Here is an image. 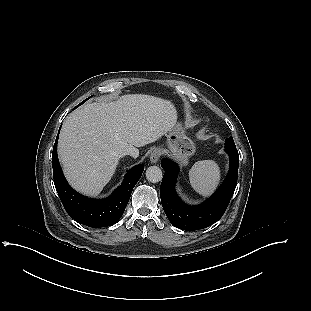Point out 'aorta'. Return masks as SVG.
<instances>
[{
	"label": "aorta",
	"instance_id": "obj_1",
	"mask_svg": "<svg viewBox=\"0 0 311 311\" xmlns=\"http://www.w3.org/2000/svg\"><path fill=\"white\" fill-rule=\"evenodd\" d=\"M162 170L157 166H150L146 170V179L151 183H158L162 180Z\"/></svg>",
	"mask_w": 311,
	"mask_h": 311
}]
</instances>
